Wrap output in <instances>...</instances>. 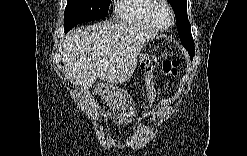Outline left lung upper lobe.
<instances>
[{"instance_id":"obj_1","label":"left lung upper lobe","mask_w":247,"mask_h":156,"mask_svg":"<svg viewBox=\"0 0 247 156\" xmlns=\"http://www.w3.org/2000/svg\"><path fill=\"white\" fill-rule=\"evenodd\" d=\"M169 2L175 12L181 43L187 49L190 58L193 59L195 47L191 34V25L187 17V0H169Z\"/></svg>"}]
</instances>
